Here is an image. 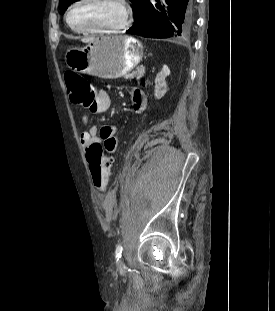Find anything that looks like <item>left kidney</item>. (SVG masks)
<instances>
[{
	"label": "left kidney",
	"instance_id": "1",
	"mask_svg": "<svg viewBox=\"0 0 275 311\" xmlns=\"http://www.w3.org/2000/svg\"><path fill=\"white\" fill-rule=\"evenodd\" d=\"M170 74V70L168 69L167 66H164L162 71L157 74L156 79H155V98L156 99H161L166 91H167V82L168 79L166 78Z\"/></svg>",
	"mask_w": 275,
	"mask_h": 311
}]
</instances>
